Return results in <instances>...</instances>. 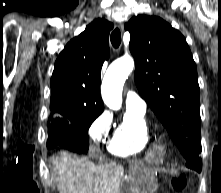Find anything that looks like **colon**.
Masks as SVG:
<instances>
[{"mask_svg":"<svg viewBox=\"0 0 221 193\" xmlns=\"http://www.w3.org/2000/svg\"><path fill=\"white\" fill-rule=\"evenodd\" d=\"M170 184L173 190L181 192L186 186V179L183 174L173 175L170 179Z\"/></svg>","mask_w":221,"mask_h":193,"instance_id":"colon-1","label":"colon"}]
</instances>
